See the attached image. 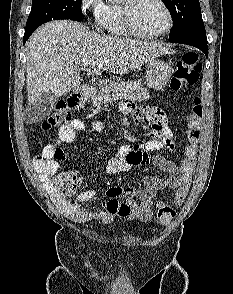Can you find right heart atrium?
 <instances>
[{
  "label": "right heart atrium",
  "instance_id": "obj_1",
  "mask_svg": "<svg viewBox=\"0 0 233 294\" xmlns=\"http://www.w3.org/2000/svg\"><path fill=\"white\" fill-rule=\"evenodd\" d=\"M80 9L83 15L91 19L95 26L101 27L107 5L103 0H81Z\"/></svg>",
  "mask_w": 233,
  "mask_h": 294
}]
</instances>
